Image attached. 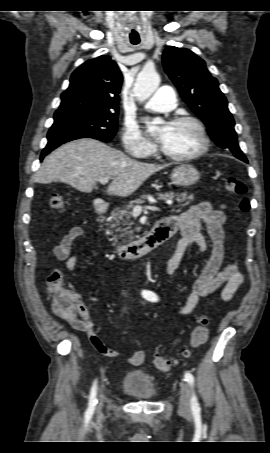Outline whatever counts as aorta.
<instances>
[{"instance_id":"762f6f07","label":"aorta","mask_w":270,"mask_h":453,"mask_svg":"<svg viewBox=\"0 0 270 453\" xmlns=\"http://www.w3.org/2000/svg\"><path fill=\"white\" fill-rule=\"evenodd\" d=\"M160 84V76L153 66H145L138 74L134 87L133 95L139 102L146 101L158 88ZM156 122H161V119H156Z\"/></svg>"}]
</instances>
